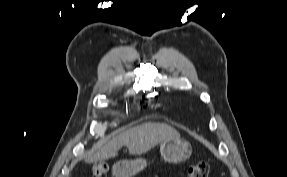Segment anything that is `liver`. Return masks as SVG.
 I'll return each instance as SVG.
<instances>
[{"mask_svg": "<svg viewBox=\"0 0 287 177\" xmlns=\"http://www.w3.org/2000/svg\"><path fill=\"white\" fill-rule=\"evenodd\" d=\"M179 137V132L166 123H143L118 134L96 150L88 152L85 161L93 163L115 157L123 146L128 148L130 154H144L164 140Z\"/></svg>", "mask_w": 287, "mask_h": 177, "instance_id": "liver-1", "label": "liver"}]
</instances>
